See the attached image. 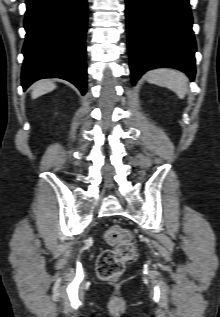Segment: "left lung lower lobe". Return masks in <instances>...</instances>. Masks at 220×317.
<instances>
[{"label": "left lung lower lobe", "instance_id": "left-lung-lower-lobe-1", "mask_svg": "<svg viewBox=\"0 0 220 317\" xmlns=\"http://www.w3.org/2000/svg\"><path fill=\"white\" fill-rule=\"evenodd\" d=\"M133 85L147 70L170 66L195 76L196 43L189 0H126Z\"/></svg>", "mask_w": 220, "mask_h": 317}]
</instances>
